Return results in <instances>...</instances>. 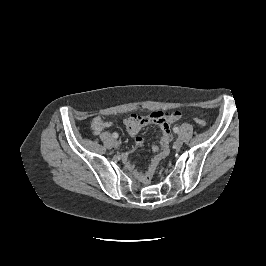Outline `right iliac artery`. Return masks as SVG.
Listing matches in <instances>:
<instances>
[{
	"instance_id": "1",
	"label": "right iliac artery",
	"mask_w": 266,
	"mask_h": 266,
	"mask_svg": "<svg viewBox=\"0 0 266 266\" xmlns=\"http://www.w3.org/2000/svg\"><path fill=\"white\" fill-rule=\"evenodd\" d=\"M112 136L114 137V138H118V133H116V132H114L113 134H112Z\"/></svg>"
}]
</instances>
